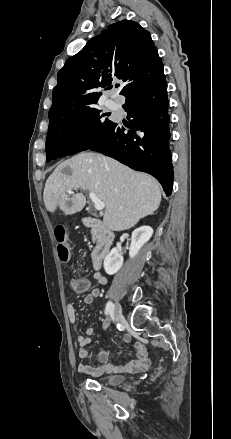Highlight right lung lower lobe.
I'll return each mask as SVG.
<instances>
[{"instance_id": "1", "label": "right lung lower lobe", "mask_w": 231, "mask_h": 439, "mask_svg": "<svg viewBox=\"0 0 231 439\" xmlns=\"http://www.w3.org/2000/svg\"><path fill=\"white\" fill-rule=\"evenodd\" d=\"M167 83L165 76L126 97L122 106L129 123H113L89 149L110 156L130 168L151 174L167 196L173 188V166L169 149Z\"/></svg>"}]
</instances>
